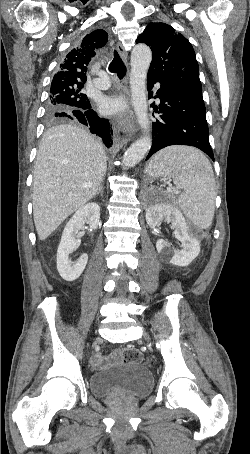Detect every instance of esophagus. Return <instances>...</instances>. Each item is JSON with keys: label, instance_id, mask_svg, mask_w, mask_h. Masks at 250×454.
I'll use <instances>...</instances> for the list:
<instances>
[{"label": "esophagus", "instance_id": "esophagus-1", "mask_svg": "<svg viewBox=\"0 0 250 454\" xmlns=\"http://www.w3.org/2000/svg\"><path fill=\"white\" fill-rule=\"evenodd\" d=\"M117 50L123 59L125 63H127V51L123 47V45L118 42L117 43ZM123 91L126 94V96L129 95V90L127 87V77L124 78V86H123ZM118 125L122 128V130L127 133V135L132 138L135 136L137 128L133 116V112L129 110L125 115L121 116L118 119Z\"/></svg>", "mask_w": 250, "mask_h": 454}]
</instances>
